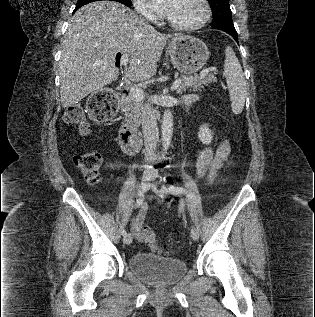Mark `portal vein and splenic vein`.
Segmentation results:
<instances>
[{
    "label": "portal vein and splenic vein",
    "instance_id": "18ae733b",
    "mask_svg": "<svg viewBox=\"0 0 315 317\" xmlns=\"http://www.w3.org/2000/svg\"><path fill=\"white\" fill-rule=\"evenodd\" d=\"M120 64L122 66H127L128 64V57L123 56L121 58ZM209 70H215L214 68H209L208 70H203L200 75L203 76L206 72H209ZM181 80L178 78L175 80V82L173 83L171 89L172 90H176L178 89V87L180 86ZM130 93L133 95L134 98L138 99V100H142L144 98V91L138 87V86H133L130 88Z\"/></svg>",
    "mask_w": 315,
    "mask_h": 317
}]
</instances>
